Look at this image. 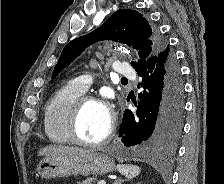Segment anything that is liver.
Here are the masks:
<instances>
[{"label":"liver","instance_id":"6515ba94","mask_svg":"<svg viewBox=\"0 0 224 184\" xmlns=\"http://www.w3.org/2000/svg\"><path fill=\"white\" fill-rule=\"evenodd\" d=\"M82 152H89L85 149H80L77 147H69V146H62V145H48L38 152V156H45V157H59L65 155H74L77 153Z\"/></svg>","mask_w":224,"mask_h":184}]
</instances>
